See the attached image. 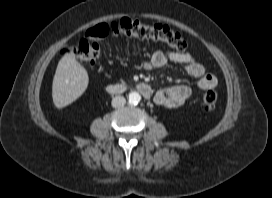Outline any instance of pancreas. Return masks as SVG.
<instances>
[{"mask_svg":"<svg viewBox=\"0 0 272 198\" xmlns=\"http://www.w3.org/2000/svg\"><path fill=\"white\" fill-rule=\"evenodd\" d=\"M120 81H121V83H123V84L125 83L123 80H120Z\"/></svg>","mask_w":272,"mask_h":198,"instance_id":"cf45deb5","label":"pancreas"}]
</instances>
